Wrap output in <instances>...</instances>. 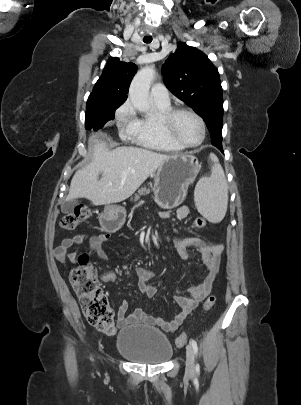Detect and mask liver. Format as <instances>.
Returning <instances> with one entry per match:
<instances>
[{
    "label": "liver",
    "instance_id": "1",
    "mask_svg": "<svg viewBox=\"0 0 301 405\" xmlns=\"http://www.w3.org/2000/svg\"><path fill=\"white\" fill-rule=\"evenodd\" d=\"M89 148L92 161L74 174L66 201L87 198L93 205H106L126 200L169 158L138 147L108 150L97 135L89 138Z\"/></svg>",
    "mask_w": 301,
    "mask_h": 405
}]
</instances>
